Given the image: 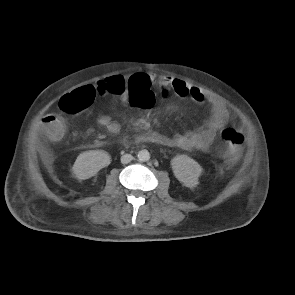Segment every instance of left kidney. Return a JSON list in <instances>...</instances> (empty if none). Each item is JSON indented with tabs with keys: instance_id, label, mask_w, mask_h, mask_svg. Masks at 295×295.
<instances>
[{
	"instance_id": "5707ae66",
	"label": "left kidney",
	"mask_w": 295,
	"mask_h": 295,
	"mask_svg": "<svg viewBox=\"0 0 295 295\" xmlns=\"http://www.w3.org/2000/svg\"><path fill=\"white\" fill-rule=\"evenodd\" d=\"M171 167L175 177L186 187L193 188L198 185L201 175V166L187 155H177L171 160Z\"/></svg>"
}]
</instances>
